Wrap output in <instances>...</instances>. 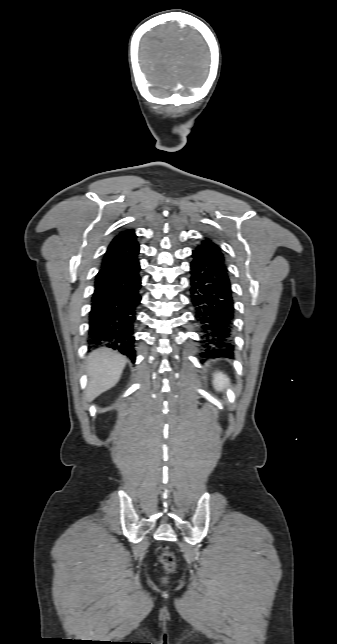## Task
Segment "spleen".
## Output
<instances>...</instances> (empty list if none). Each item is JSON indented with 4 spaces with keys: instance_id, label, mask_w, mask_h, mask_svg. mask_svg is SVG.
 <instances>
[{
    "instance_id": "3e777b00",
    "label": "spleen",
    "mask_w": 337,
    "mask_h": 644,
    "mask_svg": "<svg viewBox=\"0 0 337 644\" xmlns=\"http://www.w3.org/2000/svg\"><path fill=\"white\" fill-rule=\"evenodd\" d=\"M230 384V379L222 372H216L213 376V386L216 391H223L224 387Z\"/></svg>"
}]
</instances>
